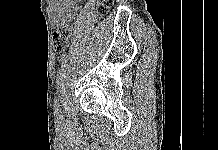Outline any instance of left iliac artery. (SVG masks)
<instances>
[{
  "label": "left iliac artery",
  "instance_id": "1",
  "mask_svg": "<svg viewBox=\"0 0 218 150\" xmlns=\"http://www.w3.org/2000/svg\"><path fill=\"white\" fill-rule=\"evenodd\" d=\"M54 110H55L56 116H60L61 115V110H60V106H59V102H58L57 98L54 101Z\"/></svg>",
  "mask_w": 218,
  "mask_h": 150
}]
</instances>
